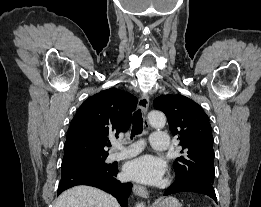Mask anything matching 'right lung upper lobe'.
I'll return each mask as SVG.
<instances>
[{"label": "right lung upper lobe", "mask_w": 261, "mask_h": 207, "mask_svg": "<svg viewBox=\"0 0 261 207\" xmlns=\"http://www.w3.org/2000/svg\"><path fill=\"white\" fill-rule=\"evenodd\" d=\"M137 99L128 92L110 88L79 107L68 129L62 161L88 156H108L104 147L110 136L118 137L130 127Z\"/></svg>", "instance_id": "obj_1"}]
</instances>
